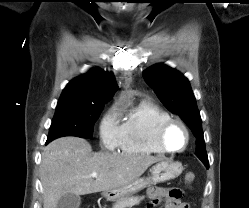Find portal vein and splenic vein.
Here are the masks:
<instances>
[{"label":"portal vein and splenic vein","instance_id":"18ae733b","mask_svg":"<svg viewBox=\"0 0 249 208\" xmlns=\"http://www.w3.org/2000/svg\"><path fill=\"white\" fill-rule=\"evenodd\" d=\"M97 176H98L97 173H92V174L90 175V177H93V178H96Z\"/></svg>","mask_w":249,"mask_h":208}]
</instances>
